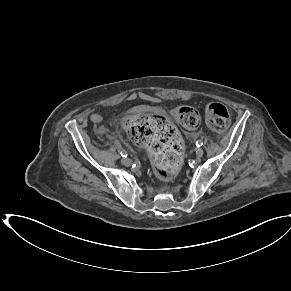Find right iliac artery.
I'll return each mask as SVG.
<instances>
[{
	"label": "right iliac artery",
	"instance_id": "82829eb1",
	"mask_svg": "<svg viewBox=\"0 0 291 291\" xmlns=\"http://www.w3.org/2000/svg\"><path fill=\"white\" fill-rule=\"evenodd\" d=\"M120 154H121V156H122V157H127V152H126V151H124V150H123V151H121V153H120Z\"/></svg>",
	"mask_w": 291,
	"mask_h": 291
}]
</instances>
